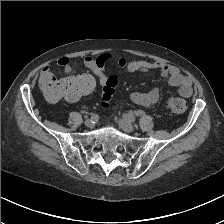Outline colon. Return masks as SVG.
<instances>
[{
    "label": "colon",
    "mask_w": 224,
    "mask_h": 224,
    "mask_svg": "<svg viewBox=\"0 0 224 224\" xmlns=\"http://www.w3.org/2000/svg\"><path fill=\"white\" fill-rule=\"evenodd\" d=\"M117 85V78L110 77L103 85V95L101 106L107 109ZM95 81L88 75L69 77L64 80H57L54 77L46 79L42 83V88L51 101H58L62 98L71 101L77 100L93 91ZM167 109L175 114L183 113L187 109V102L179 96H171L166 102Z\"/></svg>",
    "instance_id": "colon-1"
}]
</instances>
